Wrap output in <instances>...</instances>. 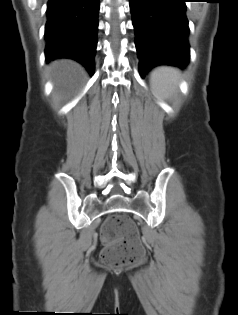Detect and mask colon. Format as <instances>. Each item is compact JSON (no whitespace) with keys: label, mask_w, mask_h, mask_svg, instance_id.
I'll list each match as a JSON object with an SVG mask.
<instances>
[{"label":"colon","mask_w":238,"mask_h":315,"mask_svg":"<svg viewBox=\"0 0 238 315\" xmlns=\"http://www.w3.org/2000/svg\"><path fill=\"white\" fill-rule=\"evenodd\" d=\"M101 237L106 245L101 258L107 265H130L144 257L138 229L126 215L115 214L107 218L101 229Z\"/></svg>","instance_id":"obj_1"}]
</instances>
